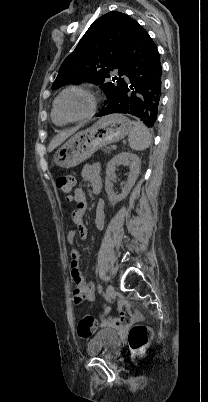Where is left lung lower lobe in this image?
I'll return each mask as SVG.
<instances>
[{
  "label": "left lung lower lobe",
  "instance_id": "0a47b994",
  "mask_svg": "<svg viewBox=\"0 0 208 402\" xmlns=\"http://www.w3.org/2000/svg\"><path fill=\"white\" fill-rule=\"evenodd\" d=\"M124 57L125 78L97 117L130 114L153 127L162 97V66L155 43L138 22L133 24Z\"/></svg>",
  "mask_w": 208,
  "mask_h": 402
}]
</instances>
